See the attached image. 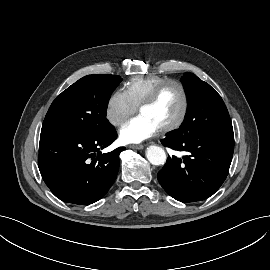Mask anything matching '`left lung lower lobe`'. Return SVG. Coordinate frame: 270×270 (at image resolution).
I'll return each mask as SVG.
<instances>
[{
	"label": "left lung lower lobe",
	"mask_w": 270,
	"mask_h": 270,
	"mask_svg": "<svg viewBox=\"0 0 270 270\" xmlns=\"http://www.w3.org/2000/svg\"><path fill=\"white\" fill-rule=\"evenodd\" d=\"M164 146L187 151L183 161L168 157L158 180L174 199L187 203L213 195L227 177L234 150L233 133L192 131L183 138L173 132L161 140Z\"/></svg>",
	"instance_id": "obj_1"
}]
</instances>
